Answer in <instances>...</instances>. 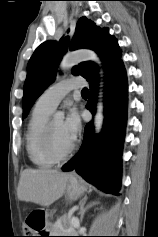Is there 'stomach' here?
I'll use <instances>...</instances> for the list:
<instances>
[{
    "label": "stomach",
    "mask_w": 158,
    "mask_h": 237,
    "mask_svg": "<svg viewBox=\"0 0 158 237\" xmlns=\"http://www.w3.org/2000/svg\"><path fill=\"white\" fill-rule=\"evenodd\" d=\"M85 191V185L77 178L71 177L67 184L65 198L67 201L73 202L83 196Z\"/></svg>",
    "instance_id": "1"
}]
</instances>
